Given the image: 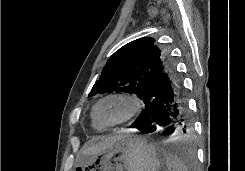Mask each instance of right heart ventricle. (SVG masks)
Segmentation results:
<instances>
[{
  "label": "right heart ventricle",
  "instance_id": "obj_1",
  "mask_svg": "<svg viewBox=\"0 0 245 171\" xmlns=\"http://www.w3.org/2000/svg\"><path fill=\"white\" fill-rule=\"evenodd\" d=\"M92 123H93V126L96 128V129H98V130H100V129H102L103 128V126H101L94 118H93V116H92Z\"/></svg>",
  "mask_w": 245,
  "mask_h": 171
}]
</instances>
